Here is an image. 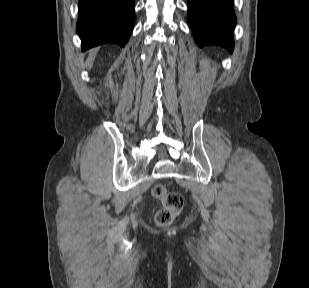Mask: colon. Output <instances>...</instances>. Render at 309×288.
Listing matches in <instances>:
<instances>
[{"label":"colon","mask_w":309,"mask_h":288,"mask_svg":"<svg viewBox=\"0 0 309 288\" xmlns=\"http://www.w3.org/2000/svg\"><path fill=\"white\" fill-rule=\"evenodd\" d=\"M152 196L163 205L155 215L157 225H170L183 209V196L178 192H169L166 187L160 183L152 187Z\"/></svg>","instance_id":"1"}]
</instances>
